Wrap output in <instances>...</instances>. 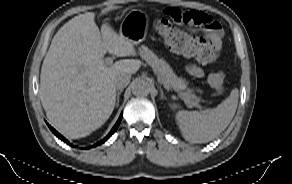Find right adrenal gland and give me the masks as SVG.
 I'll list each match as a JSON object with an SVG mask.
<instances>
[{"instance_id": "obj_1", "label": "right adrenal gland", "mask_w": 292, "mask_h": 184, "mask_svg": "<svg viewBox=\"0 0 292 184\" xmlns=\"http://www.w3.org/2000/svg\"><path fill=\"white\" fill-rule=\"evenodd\" d=\"M122 89H120L118 92H117V98H116V100H117V102H116V106L118 107L119 106V99H120V95H121V93H122Z\"/></svg>"}]
</instances>
